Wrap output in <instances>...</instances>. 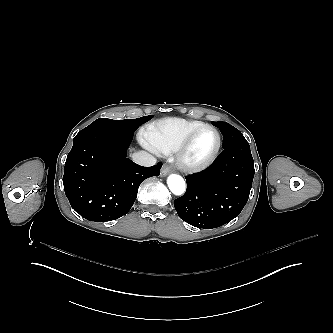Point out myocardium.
<instances>
[{"label":"myocardium","instance_id":"obj_1","mask_svg":"<svg viewBox=\"0 0 333 333\" xmlns=\"http://www.w3.org/2000/svg\"><path fill=\"white\" fill-rule=\"evenodd\" d=\"M205 128H210L215 132V134L217 136L216 148H215L214 152L211 154V156L208 159H206L205 161L191 162L186 157L190 142L192 141V139L194 138V136L197 133H199L201 130H203ZM221 146H222V138H221V134H220L219 130L214 125L203 124L195 129L191 130L190 132H188L184 136V138L181 140V142L175 152V164H176L177 168H179L180 170H182L184 172L196 173V172L203 171V170L209 168L215 162V160L217 159L219 152L221 150Z\"/></svg>","mask_w":333,"mask_h":333}]
</instances>
